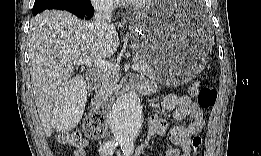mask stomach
<instances>
[{"label": "stomach", "instance_id": "stomach-1", "mask_svg": "<svg viewBox=\"0 0 261 156\" xmlns=\"http://www.w3.org/2000/svg\"><path fill=\"white\" fill-rule=\"evenodd\" d=\"M186 2H155L136 12L129 24L135 50L145 55L165 83L191 81L209 59L208 29L186 16Z\"/></svg>", "mask_w": 261, "mask_h": 156}]
</instances>
